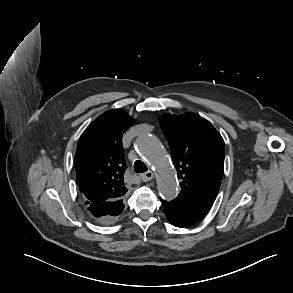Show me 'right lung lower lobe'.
Returning <instances> with one entry per match:
<instances>
[{
    "instance_id": "98d812e1",
    "label": "right lung lower lobe",
    "mask_w": 293,
    "mask_h": 293,
    "mask_svg": "<svg viewBox=\"0 0 293 293\" xmlns=\"http://www.w3.org/2000/svg\"><path fill=\"white\" fill-rule=\"evenodd\" d=\"M124 204L122 200L104 203H94L88 205V211L93 218L104 224L115 221L118 215L123 212Z\"/></svg>"
}]
</instances>
